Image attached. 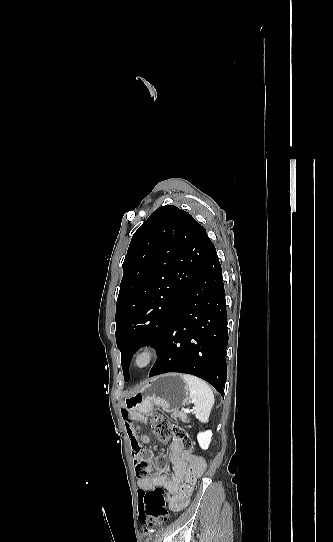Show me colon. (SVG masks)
I'll return each mask as SVG.
<instances>
[{
	"label": "colon",
	"mask_w": 333,
	"mask_h": 542,
	"mask_svg": "<svg viewBox=\"0 0 333 542\" xmlns=\"http://www.w3.org/2000/svg\"><path fill=\"white\" fill-rule=\"evenodd\" d=\"M151 431L163 443H168L171 439H179L182 447L191 451L193 444L187 436L185 428H180L176 422L168 421L163 415H156L150 421ZM163 460V458H159ZM152 472L150 460H142L136 465V473L139 477H147ZM190 485L185 486L181 493H186ZM141 505L139 508L138 520L143 528L149 533H153L157 525L165 522L169 518L167 500L165 492L161 488L152 489L139 494Z\"/></svg>",
	"instance_id": "1"
}]
</instances>
